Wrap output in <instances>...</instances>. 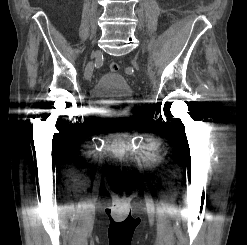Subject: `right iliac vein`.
I'll list each match as a JSON object with an SVG mask.
<instances>
[{"label": "right iliac vein", "instance_id": "1", "mask_svg": "<svg viewBox=\"0 0 247 245\" xmlns=\"http://www.w3.org/2000/svg\"><path fill=\"white\" fill-rule=\"evenodd\" d=\"M95 54L97 55L98 51H96ZM93 68H94L93 62H89L85 68L86 79H90L92 72H93Z\"/></svg>", "mask_w": 247, "mask_h": 245}]
</instances>
